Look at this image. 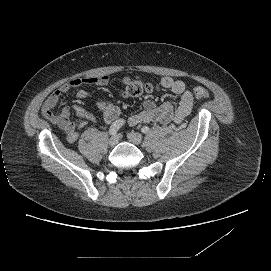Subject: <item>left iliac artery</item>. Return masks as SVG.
Returning <instances> with one entry per match:
<instances>
[{
  "mask_svg": "<svg viewBox=\"0 0 271 271\" xmlns=\"http://www.w3.org/2000/svg\"><path fill=\"white\" fill-rule=\"evenodd\" d=\"M149 127H147V126H143L142 128H141V132L142 133H144V134H147L148 132H149Z\"/></svg>",
  "mask_w": 271,
  "mask_h": 271,
  "instance_id": "obj_1",
  "label": "left iliac artery"
}]
</instances>
